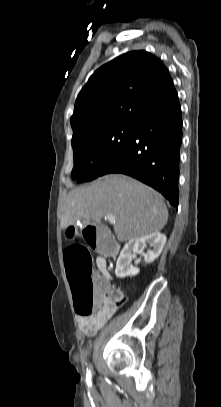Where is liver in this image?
I'll list each match as a JSON object with an SVG mask.
<instances>
[{"label":"liver","instance_id":"1","mask_svg":"<svg viewBox=\"0 0 221 407\" xmlns=\"http://www.w3.org/2000/svg\"><path fill=\"white\" fill-rule=\"evenodd\" d=\"M108 214L115 216V222L108 221L122 242L159 232L168 220L167 207L158 192L131 177L110 174L68 193L61 226L67 228L78 220L98 225Z\"/></svg>","mask_w":221,"mask_h":407}]
</instances>
